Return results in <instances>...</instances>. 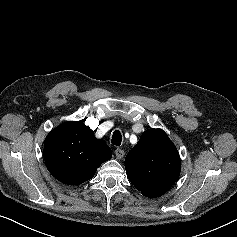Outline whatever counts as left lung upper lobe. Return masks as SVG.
<instances>
[{
	"instance_id": "left-lung-upper-lobe-1",
	"label": "left lung upper lobe",
	"mask_w": 237,
	"mask_h": 237,
	"mask_svg": "<svg viewBox=\"0 0 237 237\" xmlns=\"http://www.w3.org/2000/svg\"><path fill=\"white\" fill-rule=\"evenodd\" d=\"M127 177L144 196L166 193L179 177V153L161 129L145 131L125 158Z\"/></svg>"
}]
</instances>
